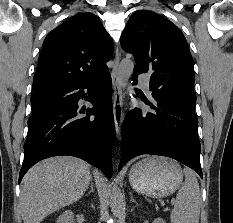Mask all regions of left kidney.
<instances>
[{
    "instance_id": "obj_1",
    "label": "left kidney",
    "mask_w": 233,
    "mask_h": 223,
    "mask_svg": "<svg viewBox=\"0 0 233 223\" xmlns=\"http://www.w3.org/2000/svg\"><path fill=\"white\" fill-rule=\"evenodd\" d=\"M152 223H166L162 217H156V219H153Z\"/></svg>"
}]
</instances>
